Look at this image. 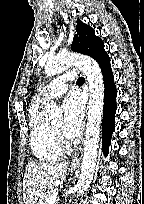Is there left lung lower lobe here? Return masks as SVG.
<instances>
[{
  "label": "left lung lower lobe",
  "instance_id": "0a47b994",
  "mask_svg": "<svg viewBox=\"0 0 144 204\" xmlns=\"http://www.w3.org/2000/svg\"><path fill=\"white\" fill-rule=\"evenodd\" d=\"M101 67L104 86H105V97H104V111L102 121V145L103 153L107 156L108 148L111 143L112 133L115 125V112H116V97L117 90L114 84V77L110 65V58L106 56L97 61Z\"/></svg>",
  "mask_w": 144,
  "mask_h": 204
}]
</instances>
